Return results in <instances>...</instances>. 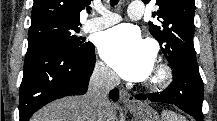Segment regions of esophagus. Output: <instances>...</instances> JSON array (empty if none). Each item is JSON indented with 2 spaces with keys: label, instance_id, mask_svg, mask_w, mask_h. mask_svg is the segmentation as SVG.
I'll use <instances>...</instances> for the list:
<instances>
[{
  "label": "esophagus",
  "instance_id": "34e87169",
  "mask_svg": "<svg viewBox=\"0 0 217 121\" xmlns=\"http://www.w3.org/2000/svg\"><path fill=\"white\" fill-rule=\"evenodd\" d=\"M120 101L125 105V106H135L136 103L134 101V98L131 96V94L126 91L125 89L120 90Z\"/></svg>",
  "mask_w": 217,
  "mask_h": 121
}]
</instances>
